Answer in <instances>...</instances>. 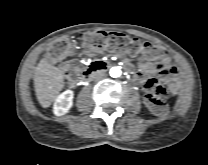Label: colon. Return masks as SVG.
<instances>
[{
	"mask_svg": "<svg viewBox=\"0 0 208 165\" xmlns=\"http://www.w3.org/2000/svg\"><path fill=\"white\" fill-rule=\"evenodd\" d=\"M82 46L85 52L93 53L101 51L107 47L114 49L120 54L135 55L148 52L154 57H163L167 51L159 45L142 42L137 38L118 32L94 31L86 32L81 36ZM70 54V44L66 39H57L46 52V59L49 62H61ZM175 86H158L154 95L148 97V104L157 114H164L167 106L165 97L173 91Z\"/></svg>",
	"mask_w": 208,
	"mask_h": 165,
	"instance_id": "5ec220e1",
	"label": "colon"
}]
</instances>
